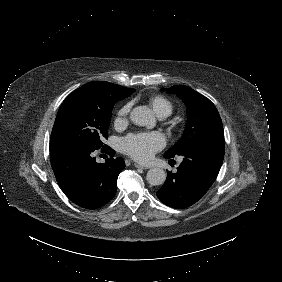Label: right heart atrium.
I'll list each match as a JSON object with an SVG mask.
<instances>
[{
	"label": "right heart atrium",
	"instance_id": "right-heart-atrium-1",
	"mask_svg": "<svg viewBox=\"0 0 282 282\" xmlns=\"http://www.w3.org/2000/svg\"><path fill=\"white\" fill-rule=\"evenodd\" d=\"M129 111V107L128 106H124L118 113V117L116 119L117 122H121L124 117L127 115Z\"/></svg>",
	"mask_w": 282,
	"mask_h": 282
}]
</instances>
